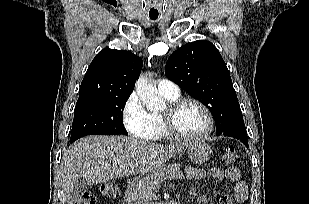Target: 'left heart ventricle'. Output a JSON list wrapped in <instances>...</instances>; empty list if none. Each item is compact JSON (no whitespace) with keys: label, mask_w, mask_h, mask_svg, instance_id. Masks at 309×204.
<instances>
[{"label":"left heart ventricle","mask_w":309,"mask_h":204,"mask_svg":"<svg viewBox=\"0 0 309 204\" xmlns=\"http://www.w3.org/2000/svg\"><path fill=\"white\" fill-rule=\"evenodd\" d=\"M175 124L183 134L197 136L207 129V118L203 110L192 103L184 105L176 114Z\"/></svg>","instance_id":"1"}]
</instances>
